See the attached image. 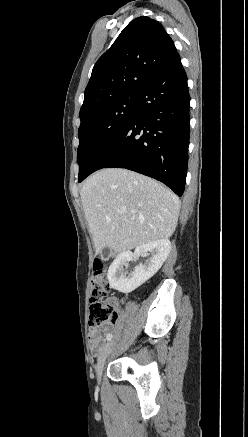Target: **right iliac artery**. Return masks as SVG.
<instances>
[{
    "instance_id": "82829eb1",
    "label": "right iliac artery",
    "mask_w": 248,
    "mask_h": 437,
    "mask_svg": "<svg viewBox=\"0 0 248 437\" xmlns=\"http://www.w3.org/2000/svg\"><path fill=\"white\" fill-rule=\"evenodd\" d=\"M112 337H113L112 334H108L107 337H106V340H107V341H110V340L112 339Z\"/></svg>"
}]
</instances>
